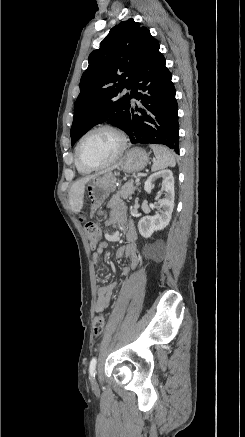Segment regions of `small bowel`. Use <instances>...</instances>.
<instances>
[{"label":"small bowel","mask_w":245,"mask_h":437,"mask_svg":"<svg viewBox=\"0 0 245 437\" xmlns=\"http://www.w3.org/2000/svg\"><path fill=\"white\" fill-rule=\"evenodd\" d=\"M80 213L82 214V216L79 218V221L82 224H85L88 221V218L84 215L85 212L83 210ZM110 221L119 224L123 223L125 221L124 208L116 209L113 212ZM126 238L128 244L119 247L116 256L117 258H121L125 256L129 260V264L124 266L122 269V273L124 275H129L130 273L133 272V270L136 268L139 262V258L137 255V248H136L137 233H136L135 226L131 221H126ZM105 248H106V243H101L97 248L96 252L93 254V263L95 265L99 264L100 258L103 255ZM115 288H116V283H109L107 285H103L99 287L97 293V301L95 304V310L97 312H103L110 306L111 295L115 290Z\"/></svg>","instance_id":"obj_1"}]
</instances>
